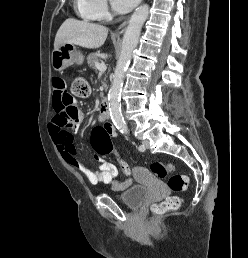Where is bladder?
I'll use <instances>...</instances> for the list:
<instances>
[{
  "label": "bladder",
  "mask_w": 248,
  "mask_h": 258,
  "mask_svg": "<svg viewBox=\"0 0 248 258\" xmlns=\"http://www.w3.org/2000/svg\"><path fill=\"white\" fill-rule=\"evenodd\" d=\"M148 189L142 185H134L121 193L118 198L129 208H139L148 197Z\"/></svg>",
  "instance_id": "obj_1"
}]
</instances>
